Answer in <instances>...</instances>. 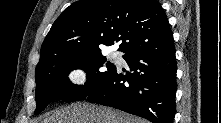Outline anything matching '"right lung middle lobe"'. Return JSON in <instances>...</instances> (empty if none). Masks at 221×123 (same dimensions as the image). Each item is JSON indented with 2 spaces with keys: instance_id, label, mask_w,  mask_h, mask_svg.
Returning a JSON list of instances; mask_svg holds the SVG:
<instances>
[{
  "instance_id": "dd1d6c3e",
  "label": "right lung middle lobe",
  "mask_w": 221,
  "mask_h": 123,
  "mask_svg": "<svg viewBox=\"0 0 221 123\" xmlns=\"http://www.w3.org/2000/svg\"><path fill=\"white\" fill-rule=\"evenodd\" d=\"M74 69L86 72L85 85H75L69 81L68 74ZM115 69V65L107 62L101 50L62 57L36 67L35 114L57 99H84L92 87L103 82Z\"/></svg>"
}]
</instances>
